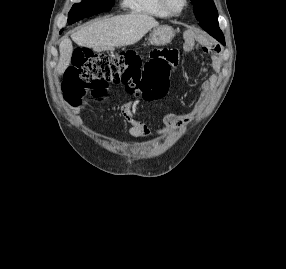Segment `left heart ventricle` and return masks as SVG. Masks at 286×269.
Listing matches in <instances>:
<instances>
[{"label": "left heart ventricle", "instance_id": "obj_1", "mask_svg": "<svg viewBox=\"0 0 286 269\" xmlns=\"http://www.w3.org/2000/svg\"><path fill=\"white\" fill-rule=\"evenodd\" d=\"M170 4L175 10H179L182 6V0H170Z\"/></svg>", "mask_w": 286, "mask_h": 269}]
</instances>
